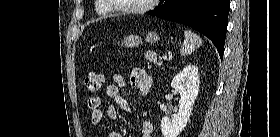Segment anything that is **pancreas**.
I'll list each match as a JSON object with an SVG mask.
<instances>
[{"instance_id": "obj_1", "label": "pancreas", "mask_w": 280, "mask_h": 137, "mask_svg": "<svg viewBox=\"0 0 280 137\" xmlns=\"http://www.w3.org/2000/svg\"><path fill=\"white\" fill-rule=\"evenodd\" d=\"M145 58L149 62H156L157 61V54L155 52H152V51H147L145 53Z\"/></svg>"}]
</instances>
